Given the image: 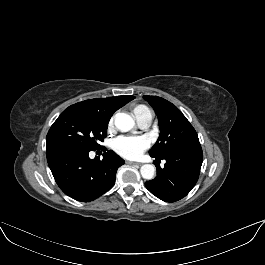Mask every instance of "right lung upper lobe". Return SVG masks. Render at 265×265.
I'll list each match as a JSON object with an SVG mask.
<instances>
[{"instance_id": "right-lung-upper-lobe-1", "label": "right lung upper lobe", "mask_w": 265, "mask_h": 265, "mask_svg": "<svg viewBox=\"0 0 265 265\" xmlns=\"http://www.w3.org/2000/svg\"><path fill=\"white\" fill-rule=\"evenodd\" d=\"M134 98V96H118L110 98L89 99L71 105L69 106V108L87 109L96 112L102 117L109 120L116 110H118Z\"/></svg>"}]
</instances>
